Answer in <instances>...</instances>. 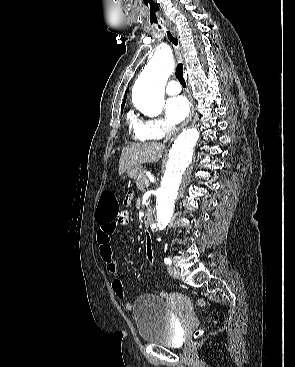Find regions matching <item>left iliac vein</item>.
Masks as SVG:
<instances>
[{
	"label": "left iliac vein",
	"instance_id": "obj_1",
	"mask_svg": "<svg viewBox=\"0 0 295 367\" xmlns=\"http://www.w3.org/2000/svg\"><path fill=\"white\" fill-rule=\"evenodd\" d=\"M168 272L173 278H176V279L180 278L181 273L177 267H172V266L169 267Z\"/></svg>",
	"mask_w": 295,
	"mask_h": 367
}]
</instances>
